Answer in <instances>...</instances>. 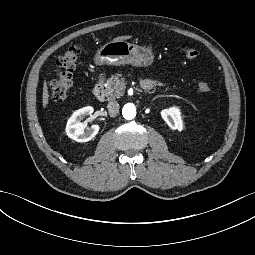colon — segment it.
<instances>
[{
  "instance_id": "colon-1",
  "label": "colon",
  "mask_w": 255,
  "mask_h": 255,
  "mask_svg": "<svg viewBox=\"0 0 255 255\" xmlns=\"http://www.w3.org/2000/svg\"><path fill=\"white\" fill-rule=\"evenodd\" d=\"M182 51L188 59H194L198 55L195 48L185 44L182 45ZM80 54V46L74 45L58 57L56 63L59 69L56 77L50 83L52 98L55 101L61 102L67 98L73 85V72L76 69ZM199 89L200 91L207 92L210 90V85L206 82H201Z\"/></svg>"
}]
</instances>
